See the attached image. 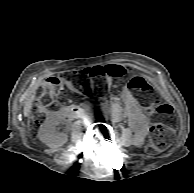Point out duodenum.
Listing matches in <instances>:
<instances>
[{
    "label": "duodenum",
    "instance_id": "1",
    "mask_svg": "<svg viewBox=\"0 0 194 193\" xmlns=\"http://www.w3.org/2000/svg\"><path fill=\"white\" fill-rule=\"evenodd\" d=\"M64 114L68 117H78L81 114V110L76 106H68L64 109Z\"/></svg>",
    "mask_w": 194,
    "mask_h": 193
}]
</instances>
